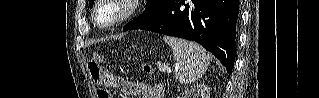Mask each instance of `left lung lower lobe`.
<instances>
[{"mask_svg":"<svg viewBox=\"0 0 319 98\" xmlns=\"http://www.w3.org/2000/svg\"><path fill=\"white\" fill-rule=\"evenodd\" d=\"M162 13L138 29L193 40L231 73L235 61L238 0H164ZM132 30L125 26L123 31Z\"/></svg>","mask_w":319,"mask_h":98,"instance_id":"0a47b994","label":"left lung lower lobe"}]
</instances>
